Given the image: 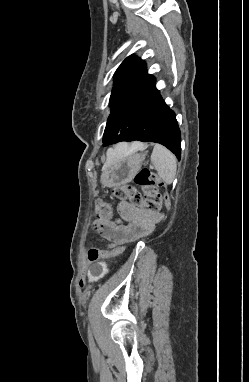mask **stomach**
<instances>
[{
    "label": "stomach",
    "mask_w": 249,
    "mask_h": 382,
    "mask_svg": "<svg viewBox=\"0 0 249 382\" xmlns=\"http://www.w3.org/2000/svg\"><path fill=\"white\" fill-rule=\"evenodd\" d=\"M146 153H132L114 157L110 164L103 168L101 184L103 187H116L130 182L145 160Z\"/></svg>",
    "instance_id": "1"
}]
</instances>
